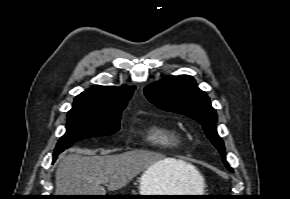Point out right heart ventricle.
Listing matches in <instances>:
<instances>
[{
  "instance_id": "obj_1",
  "label": "right heart ventricle",
  "mask_w": 290,
  "mask_h": 199,
  "mask_svg": "<svg viewBox=\"0 0 290 199\" xmlns=\"http://www.w3.org/2000/svg\"><path fill=\"white\" fill-rule=\"evenodd\" d=\"M147 137L151 142L163 147L175 146L182 141L178 131L159 124H151L148 126Z\"/></svg>"
}]
</instances>
